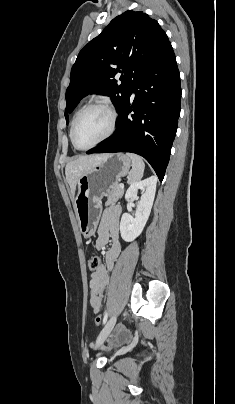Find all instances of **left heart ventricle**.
<instances>
[{"label":"left heart ventricle","instance_id":"1","mask_svg":"<svg viewBox=\"0 0 235 404\" xmlns=\"http://www.w3.org/2000/svg\"><path fill=\"white\" fill-rule=\"evenodd\" d=\"M110 126V115L103 108L87 111L79 120L75 130V141L80 147H88L102 138Z\"/></svg>","mask_w":235,"mask_h":404}]
</instances>
